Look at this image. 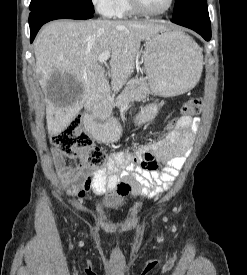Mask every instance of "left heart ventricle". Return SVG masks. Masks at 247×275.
I'll use <instances>...</instances> for the list:
<instances>
[{
	"mask_svg": "<svg viewBox=\"0 0 247 275\" xmlns=\"http://www.w3.org/2000/svg\"><path fill=\"white\" fill-rule=\"evenodd\" d=\"M145 7L152 11H160L165 9L170 0H142Z\"/></svg>",
	"mask_w": 247,
	"mask_h": 275,
	"instance_id": "1",
	"label": "left heart ventricle"
}]
</instances>
